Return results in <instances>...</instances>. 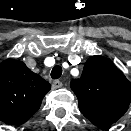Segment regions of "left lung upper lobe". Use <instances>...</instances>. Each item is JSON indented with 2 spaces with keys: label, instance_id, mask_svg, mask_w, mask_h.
Here are the masks:
<instances>
[{
  "label": "left lung upper lobe",
  "instance_id": "left-lung-upper-lobe-1",
  "mask_svg": "<svg viewBox=\"0 0 131 131\" xmlns=\"http://www.w3.org/2000/svg\"><path fill=\"white\" fill-rule=\"evenodd\" d=\"M81 113L98 127H107L127 111L131 102V82L103 56L85 63L80 79L71 81Z\"/></svg>",
  "mask_w": 131,
  "mask_h": 131
}]
</instances>
